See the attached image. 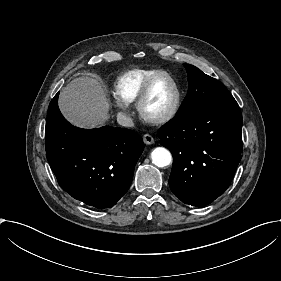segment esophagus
<instances>
[{"mask_svg":"<svg viewBox=\"0 0 281 281\" xmlns=\"http://www.w3.org/2000/svg\"><path fill=\"white\" fill-rule=\"evenodd\" d=\"M143 141L145 144L151 145L154 143V138L149 134H145L143 135Z\"/></svg>","mask_w":281,"mask_h":281,"instance_id":"34e87169","label":"esophagus"}]
</instances>
